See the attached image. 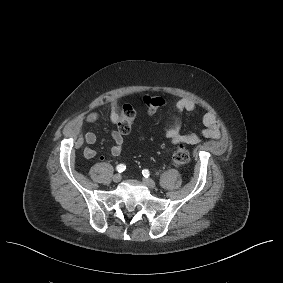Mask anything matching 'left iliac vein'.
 Listing matches in <instances>:
<instances>
[{
	"instance_id": "4c4485c4",
	"label": "left iliac vein",
	"mask_w": 283,
	"mask_h": 283,
	"mask_svg": "<svg viewBox=\"0 0 283 283\" xmlns=\"http://www.w3.org/2000/svg\"><path fill=\"white\" fill-rule=\"evenodd\" d=\"M143 182L147 187L151 189L155 188L156 186L155 182L150 178H143Z\"/></svg>"
}]
</instances>
